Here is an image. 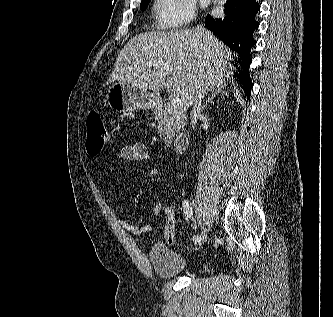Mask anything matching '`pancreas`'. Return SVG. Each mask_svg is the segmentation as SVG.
I'll list each match as a JSON object with an SVG mask.
<instances>
[{"label":"pancreas","instance_id":"obj_1","mask_svg":"<svg viewBox=\"0 0 333 317\" xmlns=\"http://www.w3.org/2000/svg\"><path fill=\"white\" fill-rule=\"evenodd\" d=\"M154 115L158 121V133L164 138L166 144L184 128L186 123V116L170 104L156 106Z\"/></svg>","mask_w":333,"mask_h":317}]
</instances>
